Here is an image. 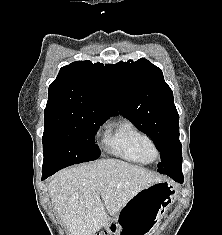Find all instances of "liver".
Wrapping results in <instances>:
<instances>
[{"label": "liver", "mask_w": 222, "mask_h": 235, "mask_svg": "<svg viewBox=\"0 0 222 235\" xmlns=\"http://www.w3.org/2000/svg\"><path fill=\"white\" fill-rule=\"evenodd\" d=\"M160 181L145 168L104 159L57 172L49 195L70 235H94L136 194Z\"/></svg>", "instance_id": "6515ba94"}]
</instances>
